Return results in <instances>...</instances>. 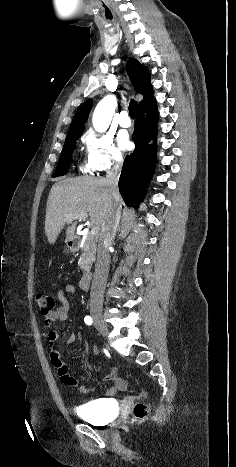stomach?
<instances>
[{
	"label": "stomach",
	"mask_w": 236,
	"mask_h": 467,
	"mask_svg": "<svg viewBox=\"0 0 236 467\" xmlns=\"http://www.w3.org/2000/svg\"><path fill=\"white\" fill-rule=\"evenodd\" d=\"M69 250H72V248H68V249H67V252H68Z\"/></svg>",
	"instance_id": "1"
}]
</instances>
